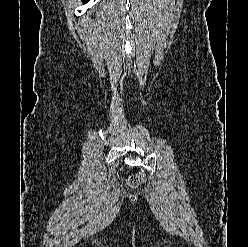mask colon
Segmentation results:
<instances>
[{"label": "colon", "mask_w": 248, "mask_h": 247, "mask_svg": "<svg viewBox=\"0 0 248 247\" xmlns=\"http://www.w3.org/2000/svg\"><path fill=\"white\" fill-rule=\"evenodd\" d=\"M145 176L142 172L132 174L126 178V184L130 187H138L140 184L143 183Z\"/></svg>", "instance_id": "obj_1"}]
</instances>
